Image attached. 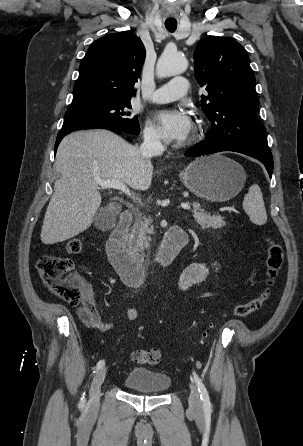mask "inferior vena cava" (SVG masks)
<instances>
[{
  "mask_svg": "<svg viewBox=\"0 0 303 446\" xmlns=\"http://www.w3.org/2000/svg\"><path fill=\"white\" fill-rule=\"evenodd\" d=\"M143 157L150 158L154 155H160L164 151V146L160 141V137L157 134L150 133L145 135L144 142L139 148Z\"/></svg>",
  "mask_w": 303,
  "mask_h": 446,
  "instance_id": "1",
  "label": "inferior vena cava"
}]
</instances>
